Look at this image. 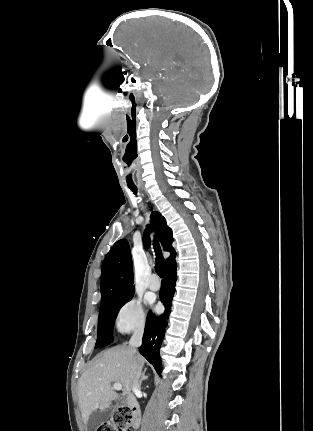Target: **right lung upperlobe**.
<instances>
[{
    "instance_id": "right-lung-upper-lobe-1",
    "label": "right lung upper lobe",
    "mask_w": 313,
    "mask_h": 431,
    "mask_svg": "<svg viewBox=\"0 0 313 431\" xmlns=\"http://www.w3.org/2000/svg\"><path fill=\"white\" fill-rule=\"evenodd\" d=\"M152 223L157 231L163 249L171 252L166 263L176 255L172 247V230L159 212H152ZM150 227L144 232V245L150 244ZM133 269L129 243L125 239L117 241L106 255L101 271V302L127 296L134 292Z\"/></svg>"
}]
</instances>
